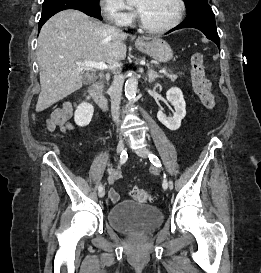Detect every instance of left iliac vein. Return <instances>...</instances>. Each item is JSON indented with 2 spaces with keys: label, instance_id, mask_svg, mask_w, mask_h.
<instances>
[{
  "label": "left iliac vein",
  "instance_id": "left-iliac-vein-1",
  "mask_svg": "<svg viewBox=\"0 0 261 273\" xmlns=\"http://www.w3.org/2000/svg\"><path fill=\"white\" fill-rule=\"evenodd\" d=\"M135 153L140 157L147 158L149 154V150L147 148H138L135 149Z\"/></svg>",
  "mask_w": 261,
  "mask_h": 273
}]
</instances>
